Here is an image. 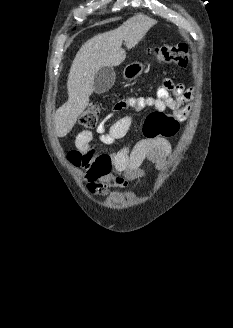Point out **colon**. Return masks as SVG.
Listing matches in <instances>:
<instances>
[{"label":"colon","mask_w":233,"mask_h":328,"mask_svg":"<svg viewBox=\"0 0 233 328\" xmlns=\"http://www.w3.org/2000/svg\"><path fill=\"white\" fill-rule=\"evenodd\" d=\"M157 59L161 62L186 67L191 61L187 46L183 44L165 45L155 51ZM102 108L98 103L90 104L80 115L79 122L87 129L97 125ZM179 129L178 119L164 111H153L143 125V134L147 140L174 136ZM68 158L72 164L86 170V179L89 186L107 176L111 170V157L95 145L75 149L69 152Z\"/></svg>","instance_id":"colon-1"}]
</instances>
